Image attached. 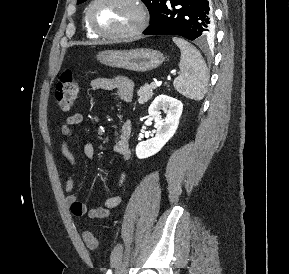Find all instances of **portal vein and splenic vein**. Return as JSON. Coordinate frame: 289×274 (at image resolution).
I'll return each mask as SVG.
<instances>
[{
  "instance_id": "obj_1",
  "label": "portal vein and splenic vein",
  "mask_w": 289,
  "mask_h": 274,
  "mask_svg": "<svg viewBox=\"0 0 289 274\" xmlns=\"http://www.w3.org/2000/svg\"><path fill=\"white\" fill-rule=\"evenodd\" d=\"M159 85H161V82H152V83H151V86H152L153 88H156V87L159 86Z\"/></svg>"
}]
</instances>
